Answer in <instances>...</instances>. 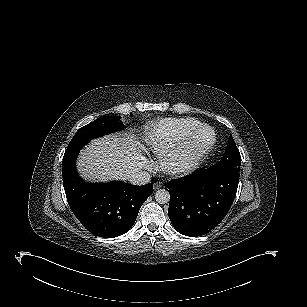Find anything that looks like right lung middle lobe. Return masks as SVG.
I'll list each match as a JSON object with an SVG mask.
<instances>
[{"label":"right lung middle lobe","mask_w":307,"mask_h":307,"mask_svg":"<svg viewBox=\"0 0 307 307\" xmlns=\"http://www.w3.org/2000/svg\"><path fill=\"white\" fill-rule=\"evenodd\" d=\"M121 117H100L80 128L70 141L66 152L80 150L93 138L101 137L123 128Z\"/></svg>","instance_id":"right-lung-middle-lobe-1"}]
</instances>
